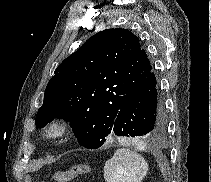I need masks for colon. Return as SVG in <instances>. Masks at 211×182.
I'll return each mask as SVG.
<instances>
[{
	"instance_id": "5ec220e1",
	"label": "colon",
	"mask_w": 211,
	"mask_h": 182,
	"mask_svg": "<svg viewBox=\"0 0 211 182\" xmlns=\"http://www.w3.org/2000/svg\"><path fill=\"white\" fill-rule=\"evenodd\" d=\"M90 171V166L87 163H81L73 166L66 171H59L55 173L57 182H69L79 175L86 174Z\"/></svg>"
}]
</instances>
